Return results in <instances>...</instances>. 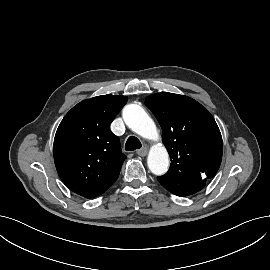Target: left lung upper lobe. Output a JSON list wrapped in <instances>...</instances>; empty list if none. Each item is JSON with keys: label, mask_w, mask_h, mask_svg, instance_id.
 Wrapping results in <instances>:
<instances>
[{"label": "left lung upper lobe", "mask_w": 270, "mask_h": 270, "mask_svg": "<svg viewBox=\"0 0 270 270\" xmlns=\"http://www.w3.org/2000/svg\"><path fill=\"white\" fill-rule=\"evenodd\" d=\"M145 104L162 127L171 160L158 181L175 195L200 191L215 176L222 159V137L213 116L194 99L168 92L148 96Z\"/></svg>", "instance_id": "5c2ea615"}]
</instances>
